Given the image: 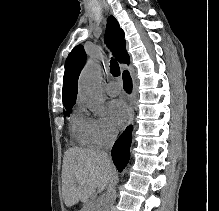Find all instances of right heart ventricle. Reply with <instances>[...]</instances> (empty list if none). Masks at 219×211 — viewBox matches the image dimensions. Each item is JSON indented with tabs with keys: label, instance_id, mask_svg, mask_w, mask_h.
I'll return each instance as SVG.
<instances>
[{
	"label": "right heart ventricle",
	"instance_id": "right-heart-ventricle-1",
	"mask_svg": "<svg viewBox=\"0 0 219 211\" xmlns=\"http://www.w3.org/2000/svg\"><path fill=\"white\" fill-rule=\"evenodd\" d=\"M72 131L75 137L83 144H92L93 139L89 130L88 117L77 114L72 118Z\"/></svg>",
	"mask_w": 219,
	"mask_h": 211
}]
</instances>
